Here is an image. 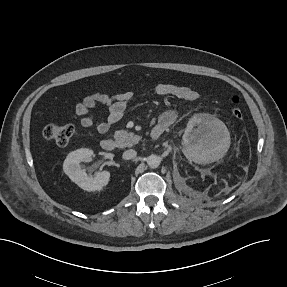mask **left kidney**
<instances>
[{"instance_id":"left-kidney-1","label":"left kidney","mask_w":287,"mask_h":287,"mask_svg":"<svg viewBox=\"0 0 287 287\" xmlns=\"http://www.w3.org/2000/svg\"><path fill=\"white\" fill-rule=\"evenodd\" d=\"M199 124L195 118L189 120L183 135V142L186 146H192L197 151H205L213 156L212 160L223 156L228 148L229 133L226 128L206 129V133L201 134L193 127Z\"/></svg>"}]
</instances>
